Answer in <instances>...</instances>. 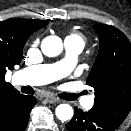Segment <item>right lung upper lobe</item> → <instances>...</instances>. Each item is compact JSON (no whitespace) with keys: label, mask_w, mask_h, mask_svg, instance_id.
Wrapping results in <instances>:
<instances>
[{"label":"right lung upper lobe","mask_w":131,"mask_h":131,"mask_svg":"<svg viewBox=\"0 0 131 131\" xmlns=\"http://www.w3.org/2000/svg\"><path fill=\"white\" fill-rule=\"evenodd\" d=\"M48 21L11 18L0 21V122L8 106L22 94L5 81L6 71L22 59V51L28 37L46 26Z\"/></svg>","instance_id":"right-lung-upper-lobe-1"}]
</instances>
